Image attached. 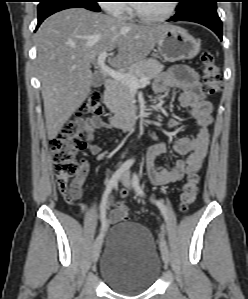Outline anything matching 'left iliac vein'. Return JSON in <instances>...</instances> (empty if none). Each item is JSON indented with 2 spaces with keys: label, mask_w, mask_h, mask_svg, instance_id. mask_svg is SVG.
Segmentation results:
<instances>
[{
  "label": "left iliac vein",
  "mask_w": 248,
  "mask_h": 299,
  "mask_svg": "<svg viewBox=\"0 0 248 299\" xmlns=\"http://www.w3.org/2000/svg\"><path fill=\"white\" fill-rule=\"evenodd\" d=\"M121 181L125 186L129 185V173L128 172L123 175ZM159 247H160V252H161L163 261L166 264H168L169 263V250H168V245H167V242H166L163 234H160V236H159Z\"/></svg>",
  "instance_id": "1"
}]
</instances>
